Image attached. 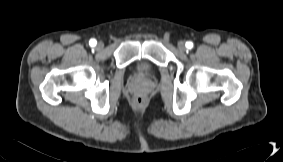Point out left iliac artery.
<instances>
[{
    "label": "left iliac artery",
    "mask_w": 283,
    "mask_h": 162,
    "mask_svg": "<svg viewBox=\"0 0 283 162\" xmlns=\"http://www.w3.org/2000/svg\"><path fill=\"white\" fill-rule=\"evenodd\" d=\"M186 47H187L188 49H191V48L193 47V43L190 42V41L186 42Z\"/></svg>",
    "instance_id": "44dca946"
}]
</instances>
